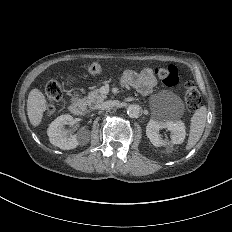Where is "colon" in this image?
Wrapping results in <instances>:
<instances>
[{
  "label": "colon",
  "instance_id": "5ec220e1",
  "mask_svg": "<svg viewBox=\"0 0 232 232\" xmlns=\"http://www.w3.org/2000/svg\"><path fill=\"white\" fill-rule=\"evenodd\" d=\"M85 73L87 76H101L100 68L94 62H89L85 66ZM162 75L164 84L168 88L180 91V99H187V102H189L188 111H195L196 107H202L199 93L203 91V86H196L191 81H183L182 70L177 65H167L162 70ZM42 89H44V94L49 97L44 99V102L48 103L44 107V114L53 116L57 112V107L53 103H59L60 97H63L61 87H59L58 81L50 80L42 84Z\"/></svg>",
  "mask_w": 232,
  "mask_h": 232
}]
</instances>
